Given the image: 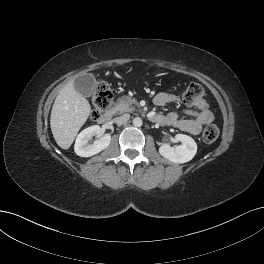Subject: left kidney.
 Returning a JSON list of instances; mask_svg holds the SVG:
<instances>
[{
  "label": "left kidney",
  "mask_w": 264,
  "mask_h": 264,
  "mask_svg": "<svg viewBox=\"0 0 264 264\" xmlns=\"http://www.w3.org/2000/svg\"><path fill=\"white\" fill-rule=\"evenodd\" d=\"M175 139L182 144L171 147L169 144H162L159 147V153L166 159L174 163H186L193 159L197 152V144L188 135L177 134Z\"/></svg>",
  "instance_id": "1"
}]
</instances>
